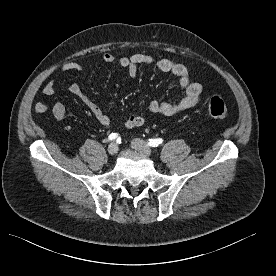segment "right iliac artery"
I'll use <instances>...</instances> for the list:
<instances>
[{
  "label": "right iliac artery",
  "mask_w": 276,
  "mask_h": 276,
  "mask_svg": "<svg viewBox=\"0 0 276 276\" xmlns=\"http://www.w3.org/2000/svg\"><path fill=\"white\" fill-rule=\"evenodd\" d=\"M120 139L117 133H111L108 137L109 140H115V139Z\"/></svg>",
  "instance_id": "right-iliac-artery-1"
}]
</instances>
